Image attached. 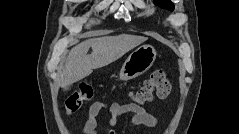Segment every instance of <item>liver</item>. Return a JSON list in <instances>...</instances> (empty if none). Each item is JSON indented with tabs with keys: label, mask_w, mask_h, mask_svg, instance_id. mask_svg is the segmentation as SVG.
I'll return each mask as SVG.
<instances>
[{
	"label": "liver",
	"mask_w": 239,
	"mask_h": 134,
	"mask_svg": "<svg viewBox=\"0 0 239 134\" xmlns=\"http://www.w3.org/2000/svg\"><path fill=\"white\" fill-rule=\"evenodd\" d=\"M146 40L147 38L142 36L122 34L83 41L68 54L60 76L61 86L71 85L89 76L93 69L111 64ZM90 47L92 53L87 55Z\"/></svg>",
	"instance_id": "6515ba94"
}]
</instances>
